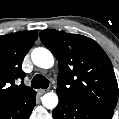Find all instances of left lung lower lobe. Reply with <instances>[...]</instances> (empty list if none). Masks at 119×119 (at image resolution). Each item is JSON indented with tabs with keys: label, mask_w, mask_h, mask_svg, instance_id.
Returning <instances> with one entry per match:
<instances>
[{
	"label": "left lung lower lobe",
	"mask_w": 119,
	"mask_h": 119,
	"mask_svg": "<svg viewBox=\"0 0 119 119\" xmlns=\"http://www.w3.org/2000/svg\"><path fill=\"white\" fill-rule=\"evenodd\" d=\"M58 97L59 104L52 112L54 119H112L113 109L83 105L68 97Z\"/></svg>",
	"instance_id": "obj_1"
}]
</instances>
